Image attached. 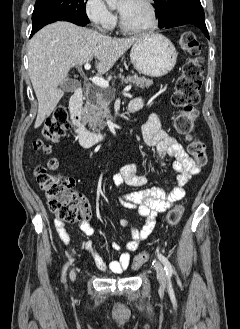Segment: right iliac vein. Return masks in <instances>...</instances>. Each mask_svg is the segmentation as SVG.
I'll return each instance as SVG.
<instances>
[{
  "label": "right iliac vein",
  "mask_w": 240,
  "mask_h": 329,
  "mask_svg": "<svg viewBox=\"0 0 240 329\" xmlns=\"http://www.w3.org/2000/svg\"><path fill=\"white\" fill-rule=\"evenodd\" d=\"M70 278H71L72 280L75 279V272H74V271L71 272V274H70Z\"/></svg>",
  "instance_id": "obj_1"
}]
</instances>
